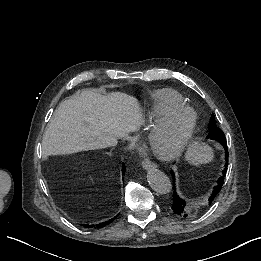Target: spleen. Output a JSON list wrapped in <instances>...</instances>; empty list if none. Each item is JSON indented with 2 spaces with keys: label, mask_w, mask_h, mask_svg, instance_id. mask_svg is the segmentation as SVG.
Masks as SVG:
<instances>
[{
  "label": "spleen",
  "mask_w": 261,
  "mask_h": 261,
  "mask_svg": "<svg viewBox=\"0 0 261 261\" xmlns=\"http://www.w3.org/2000/svg\"><path fill=\"white\" fill-rule=\"evenodd\" d=\"M214 158V152L211 146L198 143L196 141L191 142L188 145L185 153V159L189 164L198 166L200 164H207Z\"/></svg>",
  "instance_id": "spleen-1"
}]
</instances>
